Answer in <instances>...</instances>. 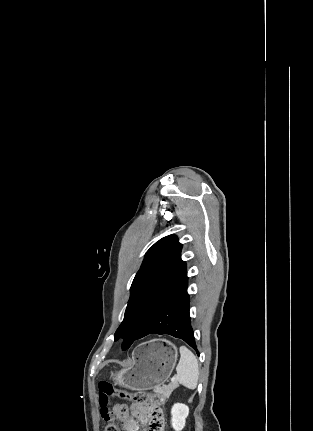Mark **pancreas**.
I'll return each instance as SVG.
<instances>
[{"label":"pancreas","mask_w":313,"mask_h":431,"mask_svg":"<svg viewBox=\"0 0 313 431\" xmlns=\"http://www.w3.org/2000/svg\"><path fill=\"white\" fill-rule=\"evenodd\" d=\"M178 387V384L176 382H173L172 384L168 386H162L157 387L154 389V392L160 395L162 398L167 399L169 398L170 394L173 392L174 389Z\"/></svg>","instance_id":"pancreas-1"}]
</instances>
